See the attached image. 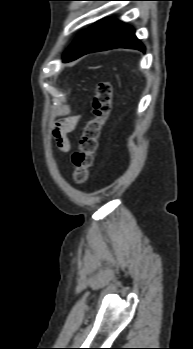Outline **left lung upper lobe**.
Instances as JSON below:
<instances>
[{
    "label": "left lung upper lobe",
    "instance_id": "5c2ea615",
    "mask_svg": "<svg viewBox=\"0 0 193 349\" xmlns=\"http://www.w3.org/2000/svg\"><path fill=\"white\" fill-rule=\"evenodd\" d=\"M83 34H84V32L80 33L77 36V38L74 40V42L71 44V46L69 47V49L67 51L71 50L76 45V43L80 40V38L83 36Z\"/></svg>",
    "mask_w": 193,
    "mask_h": 349
}]
</instances>
